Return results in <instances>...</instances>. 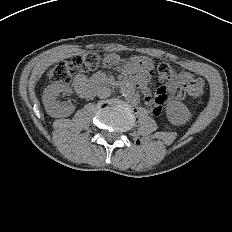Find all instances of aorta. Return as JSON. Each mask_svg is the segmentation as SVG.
<instances>
[{
    "instance_id": "obj_1",
    "label": "aorta",
    "mask_w": 232,
    "mask_h": 232,
    "mask_svg": "<svg viewBox=\"0 0 232 232\" xmlns=\"http://www.w3.org/2000/svg\"><path fill=\"white\" fill-rule=\"evenodd\" d=\"M120 93L124 97H132L135 94V88L131 84H126L120 88Z\"/></svg>"
}]
</instances>
